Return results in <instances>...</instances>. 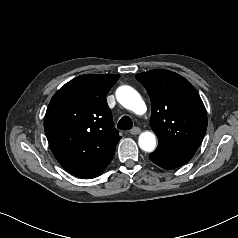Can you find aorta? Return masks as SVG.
<instances>
[{
	"label": "aorta",
	"mask_w": 238,
	"mask_h": 238,
	"mask_svg": "<svg viewBox=\"0 0 238 238\" xmlns=\"http://www.w3.org/2000/svg\"><path fill=\"white\" fill-rule=\"evenodd\" d=\"M118 102L136 114H143L146 110L140 94L130 86H121L116 90ZM139 147L146 152H152L156 148V136L153 132L145 131L138 139Z\"/></svg>",
	"instance_id": "obj_1"
}]
</instances>
